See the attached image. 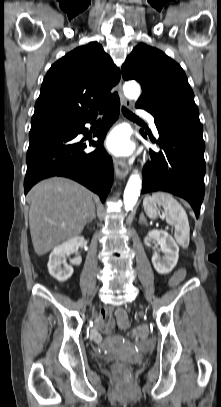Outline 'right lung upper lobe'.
I'll return each mask as SVG.
<instances>
[{
	"mask_svg": "<svg viewBox=\"0 0 221 407\" xmlns=\"http://www.w3.org/2000/svg\"><path fill=\"white\" fill-rule=\"evenodd\" d=\"M120 70L97 42L78 47L55 62L35 104L31 128L88 118L119 100L110 90Z\"/></svg>",
	"mask_w": 221,
	"mask_h": 407,
	"instance_id": "right-lung-upper-lobe-1",
	"label": "right lung upper lobe"
}]
</instances>
